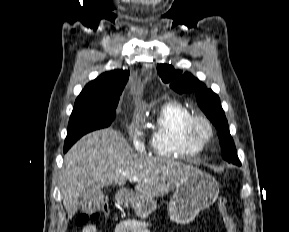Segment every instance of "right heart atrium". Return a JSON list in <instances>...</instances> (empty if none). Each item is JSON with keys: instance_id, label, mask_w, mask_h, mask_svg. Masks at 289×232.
<instances>
[{"instance_id": "right-heart-atrium-1", "label": "right heart atrium", "mask_w": 289, "mask_h": 232, "mask_svg": "<svg viewBox=\"0 0 289 232\" xmlns=\"http://www.w3.org/2000/svg\"><path fill=\"white\" fill-rule=\"evenodd\" d=\"M132 143L134 145V147L138 150V151H143L144 150V145L143 142L140 139V131L138 129L137 124L133 123L130 126V131H129Z\"/></svg>"}]
</instances>
